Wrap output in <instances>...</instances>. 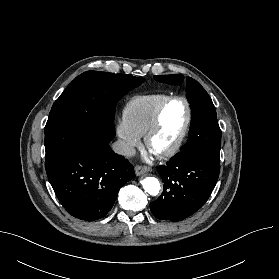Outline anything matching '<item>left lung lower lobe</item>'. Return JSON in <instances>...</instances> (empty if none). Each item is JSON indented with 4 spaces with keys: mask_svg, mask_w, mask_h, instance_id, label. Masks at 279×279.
I'll use <instances>...</instances> for the list:
<instances>
[{
    "mask_svg": "<svg viewBox=\"0 0 279 279\" xmlns=\"http://www.w3.org/2000/svg\"><path fill=\"white\" fill-rule=\"evenodd\" d=\"M163 193L150 203L158 219L180 221L198 211L213 191L220 161L194 151H181L158 167Z\"/></svg>",
    "mask_w": 279,
    "mask_h": 279,
    "instance_id": "1",
    "label": "left lung lower lobe"
}]
</instances>
